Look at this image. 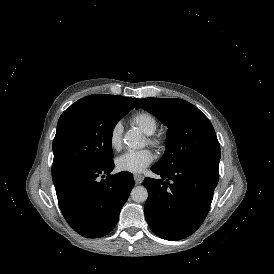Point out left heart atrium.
I'll use <instances>...</instances> for the list:
<instances>
[{"label":"left heart atrium","mask_w":274,"mask_h":274,"mask_svg":"<svg viewBox=\"0 0 274 274\" xmlns=\"http://www.w3.org/2000/svg\"><path fill=\"white\" fill-rule=\"evenodd\" d=\"M152 160V153L147 149H142L118 156L115 164L119 171L138 173L144 170Z\"/></svg>","instance_id":"39dd6f15"}]
</instances>
